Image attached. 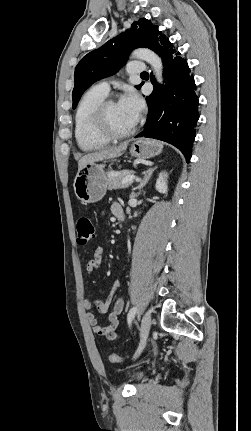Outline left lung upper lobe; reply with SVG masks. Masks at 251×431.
<instances>
[{
    "mask_svg": "<svg viewBox=\"0 0 251 431\" xmlns=\"http://www.w3.org/2000/svg\"><path fill=\"white\" fill-rule=\"evenodd\" d=\"M160 37H165L158 26L142 18L131 28L106 42L102 47L85 55L75 69V86L72 92L73 109L76 108L84 91L97 80L116 73L135 48L147 47L152 50ZM140 85L135 86L140 89Z\"/></svg>",
    "mask_w": 251,
    "mask_h": 431,
    "instance_id": "5c2ea615",
    "label": "left lung upper lobe"
}]
</instances>
